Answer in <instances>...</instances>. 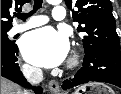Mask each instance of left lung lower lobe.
I'll list each match as a JSON object with an SVG mask.
<instances>
[{"label":"left lung lower lobe","instance_id":"left-lung-lower-lobe-1","mask_svg":"<svg viewBox=\"0 0 121 94\" xmlns=\"http://www.w3.org/2000/svg\"><path fill=\"white\" fill-rule=\"evenodd\" d=\"M91 81L106 82L121 88V51L85 52L83 67L73 78L64 81L62 87L72 88Z\"/></svg>","mask_w":121,"mask_h":94}]
</instances>
